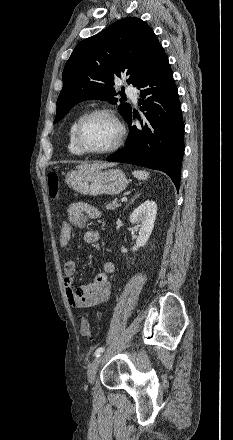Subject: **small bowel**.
Segmentation results:
<instances>
[{
	"instance_id": "1",
	"label": "small bowel",
	"mask_w": 233,
	"mask_h": 440,
	"mask_svg": "<svg viewBox=\"0 0 233 440\" xmlns=\"http://www.w3.org/2000/svg\"><path fill=\"white\" fill-rule=\"evenodd\" d=\"M99 218H101V212L87 202L70 204L67 209V219L61 225L60 246L66 247L69 244L74 228L83 229L88 220ZM82 237L85 243L96 244L100 239V234L95 229H89L83 232ZM113 271V262L105 261L101 271L95 275L92 282L75 289L76 262L72 259L67 260L64 264L63 282L68 303L74 308H92L105 303L111 294L108 276Z\"/></svg>"
}]
</instances>
